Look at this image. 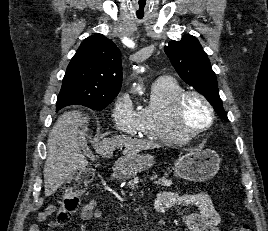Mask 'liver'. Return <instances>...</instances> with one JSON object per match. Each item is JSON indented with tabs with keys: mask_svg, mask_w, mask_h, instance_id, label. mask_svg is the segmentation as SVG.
<instances>
[{
	"mask_svg": "<svg viewBox=\"0 0 268 231\" xmlns=\"http://www.w3.org/2000/svg\"><path fill=\"white\" fill-rule=\"evenodd\" d=\"M90 117L80 111L62 114L52 127L47 141V159L44 165L45 196L54 194L61 185L72 179L73 174L84 170L88 161L81 151L83 137L87 135ZM98 154L110 157L113 151L124 146V155H134L140 151L157 147L155 143L129 136L119 135L94 141Z\"/></svg>",
	"mask_w": 268,
	"mask_h": 231,
	"instance_id": "1",
	"label": "liver"
}]
</instances>
